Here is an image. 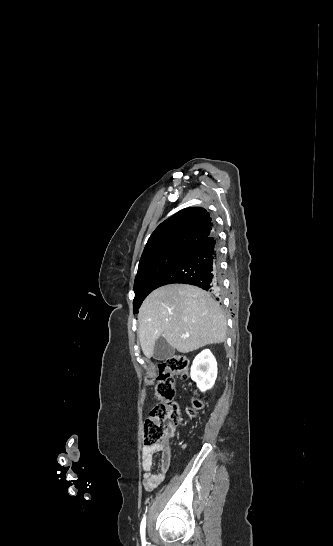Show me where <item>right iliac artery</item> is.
Wrapping results in <instances>:
<instances>
[{
    "label": "right iliac artery",
    "mask_w": 333,
    "mask_h": 546,
    "mask_svg": "<svg viewBox=\"0 0 333 546\" xmlns=\"http://www.w3.org/2000/svg\"><path fill=\"white\" fill-rule=\"evenodd\" d=\"M145 528H146V517L143 518L140 526V534H141V540L142 545L145 546L146 540H145Z\"/></svg>",
    "instance_id": "obj_1"
}]
</instances>
